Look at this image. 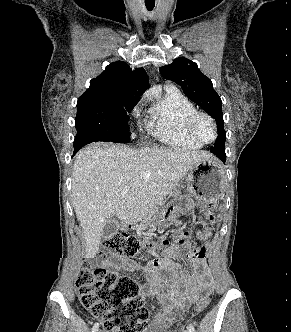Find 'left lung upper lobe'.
Instances as JSON below:
<instances>
[{"instance_id":"5c2ea615","label":"left lung upper lobe","mask_w":291,"mask_h":332,"mask_svg":"<svg viewBox=\"0 0 291 332\" xmlns=\"http://www.w3.org/2000/svg\"><path fill=\"white\" fill-rule=\"evenodd\" d=\"M161 75L179 84L185 95L199 105L218 126V137L214 149L225 148L226 133L222 114V101L213 89L211 80L197 67L195 62L179 57L173 63L160 68Z\"/></svg>"}]
</instances>
